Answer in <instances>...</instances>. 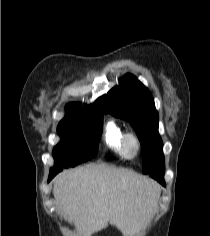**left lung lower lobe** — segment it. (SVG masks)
Masks as SVG:
<instances>
[{"label":"left lung lower lobe","instance_id":"obj_1","mask_svg":"<svg viewBox=\"0 0 210 236\" xmlns=\"http://www.w3.org/2000/svg\"><path fill=\"white\" fill-rule=\"evenodd\" d=\"M164 173H165V166L162 164L157 169L153 170L152 172L148 173L152 178L156 179L159 183L165 186L164 182Z\"/></svg>","mask_w":210,"mask_h":236}]
</instances>
